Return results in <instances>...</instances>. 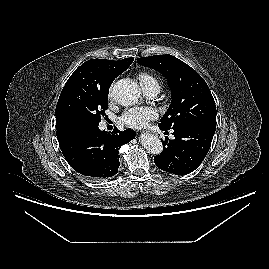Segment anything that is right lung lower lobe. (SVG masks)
Wrapping results in <instances>:
<instances>
[{
	"label": "right lung lower lobe",
	"mask_w": 269,
	"mask_h": 269,
	"mask_svg": "<svg viewBox=\"0 0 269 269\" xmlns=\"http://www.w3.org/2000/svg\"><path fill=\"white\" fill-rule=\"evenodd\" d=\"M69 165L87 179L112 177L118 172L119 149L135 138L131 129L108 133L98 126L66 127L56 131Z\"/></svg>",
	"instance_id": "obj_1"
}]
</instances>
